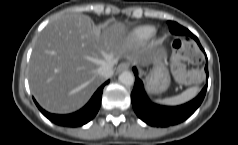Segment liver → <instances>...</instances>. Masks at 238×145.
I'll list each match as a JSON object with an SVG mask.
<instances>
[{
    "mask_svg": "<svg viewBox=\"0 0 238 145\" xmlns=\"http://www.w3.org/2000/svg\"><path fill=\"white\" fill-rule=\"evenodd\" d=\"M122 22L95 25L86 15H69L50 23L38 36L28 69L31 91L51 113L67 114L80 109L105 78L98 73L104 64L125 57L147 66L161 56L155 43L131 50L125 42Z\"/></svg>",
    "mask_w": 238,
    "mask_h": 145,
    "instance_id": "liver-1",
    "label": "liver"
}]
</instances>
